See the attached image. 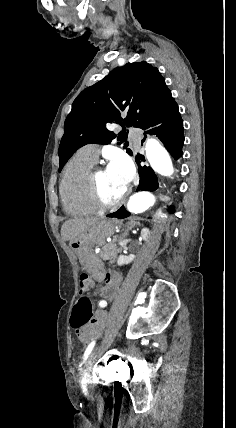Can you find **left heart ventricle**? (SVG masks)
<instances>
[{"instance_id":"obj_1","label":"left heart ventricle","mask_w":236,"mask_h":428,"mask_svg":"<svg viewBox=\"0 0 236 428\" xmlns=\"http://www.w3.org/2000/svg\"><path fill=\"white\" fill-rule=\"evenodd\" d=\"M128 183L118 174L106 170L100 178V190L105 199L114 201L120 198L128 187Z\"/></svg>"}]
</instances>
